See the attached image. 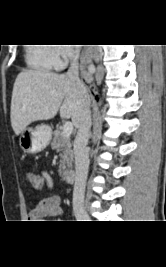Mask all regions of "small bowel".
Segmentation results:
<instances>
[{
  "label": "small bowel",
  "instance_id": "obj_1",
  "mask_svg": "<svg viewBox=\"0 0 166 267\" xmlns=\"http://www.w3.org/2000/svg\"><path fill=\"white\" fill-rule=\"evenodd\" d=\"M39 177H43V183H46V188L52 190L54 187V182L52 177L46 173L42 172ZM61 196L51 195L34 206V208L29 213V219L32 222H41L49 217L61 218Z\"/></svg>",
  "mask_w": 166,
  "mask_h": 267
}]
</instances>
